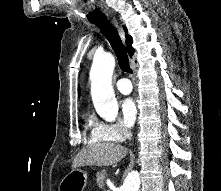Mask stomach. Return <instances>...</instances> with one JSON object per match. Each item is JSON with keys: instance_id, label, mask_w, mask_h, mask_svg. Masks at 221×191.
I'll list each match as a JSON object with an SVG mask.
<instances>
[{"instance_id": "0dacf381", "label": "stomach", "mask_w": 221, "mask_h": 191, "mask_svg": "<svg viewBox=\"0 0 221 191\" xmlns=\"http://www.w3.org/2000/svg\"><path fill=\"white\" fill-rule=\"evenodd\" d=\"M87 173L79 168L73 169L59 184V191H83L87 185Z\"/></svg>"}]
</instances>
